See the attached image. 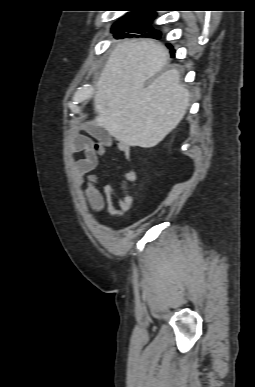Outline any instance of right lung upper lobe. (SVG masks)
<instances>
[{
  "instance_id": "cb5924a9",
  "label": "right lung upper lobe",
  "mask_w": 255,
  "mask_h": 387,
  "mask_svg": "<svg viewBox=\"0 0 255 387\" xmlns=\"http://www.w3.org/2000/svg\"><path fill=\"white\" fill-rule=\"evenodd\" d=\"M147 12H152V11H146V12H140V13H147Z\"/></svg>"
}]
</instances>
